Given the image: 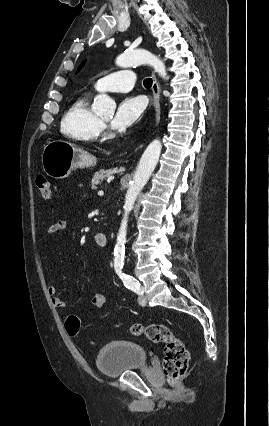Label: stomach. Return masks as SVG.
Returning a JSON list of instances; mask_svg holds the SVG:
<instances>
[{
  "instance_id": "stomach-1",
  "label": "stomach",
  "mask_w": 269,
  "mask_h": 426,
  "mask_svg": "<svg viewBox=\"0 0 269 426\" xmlns=\"http://www.w3.org/2000/svg\"><path fill=\"white\" fill-rule=\"evenodd\" d=\"M95 164V157L63 140L49 141L42 153L43 171L54 179H64L77 168H88Z\"/></svg>"
}]
</instances>
